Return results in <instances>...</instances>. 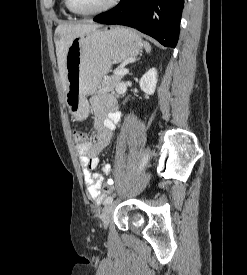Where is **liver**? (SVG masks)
Here are the masks:
<instances>
[{
    "label": "liver",
    "mask_w": 247,
    "mask_h": 275,
    "mask_svg": "<svg viewBox=\"0 0 247 275\" xmlns=\"http://www.w3.org/2000/svg\"><path fill=\"white\" fill-rule=\"evenodd\" d=\"M101 27L93 23L60 24L55 30L57 39L55 40L56 55L59 68L60 79L64 91H67L66 80V53L74 38L85 35Z\"/></svg>",
    "instance_id": "1"
}]
</instances>
